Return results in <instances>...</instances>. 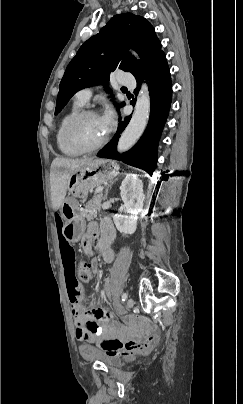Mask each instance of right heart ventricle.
Wrapping results in <instances>:
<instances>
[{"mask_svg":"<svg viewBox=\"0 0 243 404\" xmlns=\"http://www.w3.org/2000/svg\"><path fill=\"white\" fill-rule=\"evenodd\" d=\"M83 103L79 100H75L71 106L62 114L59 119V122L54 131V140L58 151L64 155L69 157H78L83 154L82 151L70 146L67 144L62 137V129L66 121L77 111H79L83 107Z\"/></svg>","mask_w":243,"mask_h":404,"instance_id":"right-heart-ventricle-1","label":"right heart ventricle"}]
</instances>
